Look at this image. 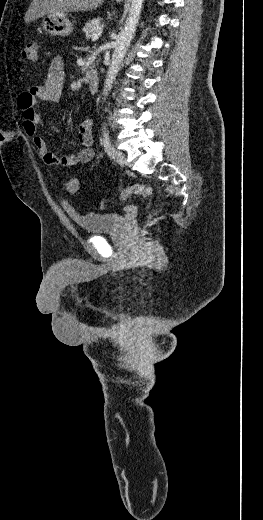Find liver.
I'll use <instances>...</instances> for the list:
<instances>
[{
	"label": "liver",
	"instance_id": "1",
	"mask_svg": "<svg viewBox=\"0 0 263 520\" xmlns=\"http://www.w3.org/2000/svg\"><path fill=\"white\" fill-rule=\"evenodd\" d=\"M104 0H33L27 10L25 22L35 21L54 12H85L95 10Z\"/></svg>",
	"mask_w": 263,
	"mask_h": 520
}]
</instances>
